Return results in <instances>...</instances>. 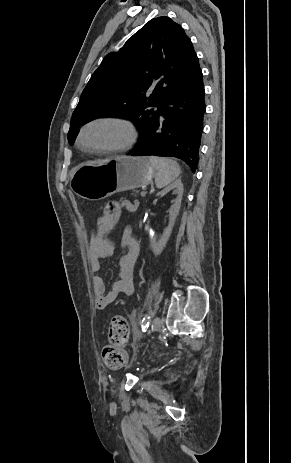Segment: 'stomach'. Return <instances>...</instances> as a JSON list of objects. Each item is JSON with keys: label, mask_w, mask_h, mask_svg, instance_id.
Segmentation results:
<instances>
[{"label": "stomach", "mask_w": 291, "mask_h": 463, "mask_svg": "<svg viewBox=\"0 0 291 463\" xmlns=\"http://www.w3.org/2000/svg\"><path fill=\"white\" fill-rule=\"evenodd\" d=\"M154 176L155 169L148 158L120 156L76 166L70 176V187L84 199L101 200L146 186Z\"/></svg>", "instance_id": "stomach-1"}]
</instances>
